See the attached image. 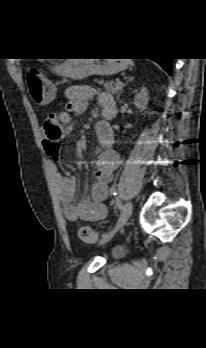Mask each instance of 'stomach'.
<instances>
[{
	"label": "stomach",
	"instance_id": "1",
	"mask_svg": "<svg viewBox=\"0 0 206 348\" xmlns=\"http://www.w3.org/2000/svg\"><path fill=\"white\" fill-rule=\"evenodd\" d=\"M127 64L119 59H67L63 64L55 66L51 71L62 77L81 80L90 75L110 76L126 69ZM49 99L42 98L39 105H45Z\"/></svg>",
	"mask_w": 206,
	"mask_h": 348
}]
</instances>
